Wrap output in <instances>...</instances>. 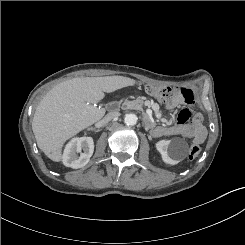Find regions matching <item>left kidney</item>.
I'll use <instances>...</instances> for the list:
<instances>
[{
    "label": "left kidney",
    "mask_w": 245,
    "mask_h": 245,
    "mask_svg": "<svg viewBox=\"0 0 245 245\" xmlns=\"http://www.w3.org/2000/svg\"><path fill=\"white\" fill-rule=\"evenodd\" d=\"M170 145V140H160L156 143V149L161 154L164 163L176 165L183 157L184 149L180 144H176L173 148H171Z\"/></svg>",
    "instance_id": "5707ae66"
}]
</instances>
